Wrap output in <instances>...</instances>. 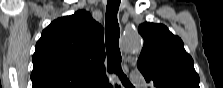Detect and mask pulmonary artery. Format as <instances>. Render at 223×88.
<instances>
[{
    "label": "pulmonary artery",
    "instance_id": "obj_1",
    "mask_svg": "<svg viewBox=\"0 0 223 88\" xmlns=\"http://www.w3.org/2000/svg\"><path fill=\"white\" fill-rule=\"evenodd\" d=\"M130 78L132 84L136 86H140L143 84V76L139 72H132Z\"/></svg>",
    "mask_w": 223,
    "mask_h": 88
}]
</instances>
